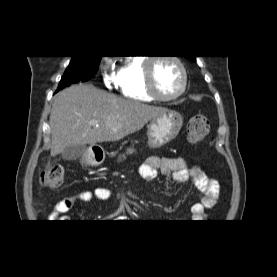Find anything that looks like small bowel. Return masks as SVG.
I'll return each instance as SVG.
<instances>
[{"instance_id": "1", "label": "small bowel", "mask_w": 277, "mask_h": 277, "mask_svg": "<svg viewBox=\"0 0 277 277\" xmlns=\"http://www.w3.org/2000/svg\"><path fill=\"white\" fill-rule=\"evenodd\" d=\"M158 173L165 177H173L178 184L191 180L202 193V198L191 208L192 217L202 220L206 217L207 210L213 208L220 197V185L217 180L210 178L199 167L190 165L182 157L158 158L151 157L139 168V174L149 182H153ZM113 193L110 189L98 187L92 190H80L58 201L48 216L50 222L68 218L67 213L78 203L91 200L106 201L111 199Z\"/></svg>"}]
</instances>
